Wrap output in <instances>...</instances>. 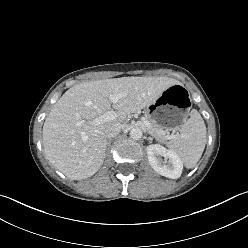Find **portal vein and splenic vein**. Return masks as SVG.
I'll use <instances>...</instances> for the list:
<instances>
[{"label": "portal vein and splenic vein", "instance_id": "1", "mask_svg": "<svg viewBox=\"0 0 248 248\" xmlns=\"http://www.w3.org/2000/svg\"><path fill=\"white\" fill-rule=\"evenodd\" d=\"M124 96V94L120 93V94H111L109 96V100L112 102V103H116L120 98H122ZM117 118V113L113 110H108L106 113H104L103 115H101L100 117L96 118L93 123L94 124H101V123H104L106 121H110V120H114ZM142 122L143 124L148 127L150 125L149 121L142 117ZM174 135H171V136H167V138H173Z\"/></svg>", "mask_w": 248, "mask_h": 248}]
</instances>
